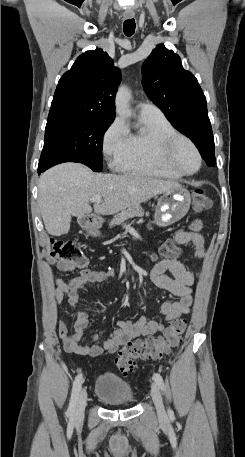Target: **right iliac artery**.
I'll use <instances>...</instances> for the list:
<instances>
[{"label":"right iliac artery","mask_w":245,"mask_h":457,"mask_svg":"<svg viewBox=\"0 0 245 457\" xmlns=\"http://www.w3.org/2000/svg\"><path fill=\"white\" fill-rule=\"evenodd\" d=\"M82 383V374H79L76 376L75 381L73 383L71 399L67 410V416H73L75 413L76 402L79 396V392L81 390Z\"/></svg>","instance_id":"obj_1"}]
</instances>
